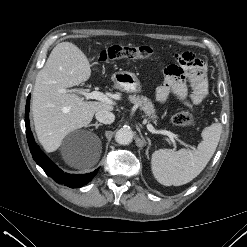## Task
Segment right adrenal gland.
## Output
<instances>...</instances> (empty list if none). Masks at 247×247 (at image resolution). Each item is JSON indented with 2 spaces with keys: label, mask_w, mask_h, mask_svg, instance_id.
<instances>
[{
  "label": "right adrenal gland",
  "mask_w": 247,
  "mask_h": 247,
  "mask_svg": "<svg viewBox=\"0 0 247 247\" xmlns=\"http://www.w3.org/2000/svg\"><path fill=\"white\" fill-rule=\"evenodd\" d=\"M91 126H95V128L97 129L99 126H102V124L101 123H95V124L88 125V127H91Z\"/></svg>",
  "instance_id": "2a0ac1e0"
}]
</instances>
